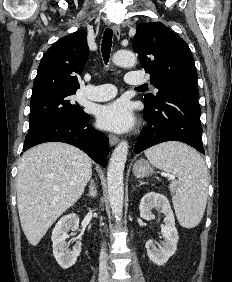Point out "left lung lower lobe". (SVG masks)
Listing matches in <instances>:
<instances>
[{
  "label": "left lung lower lobe",
  "mask_w": 232,
  "mask_h": 282,
  "mask_svg": "<svg viewBox=\"0 0 232 282\" xmlns=\"http://www.w3.org/2000/svg\"><path fill=\"white\" fill-rule=\"evenodd\" d=\"M144 127L135 153L166 141L186 143L204 153L198 93L169 92L158 105L145 104Z\"/></svg>",
  "instance_id": "obj_1"
}]
</instances>
